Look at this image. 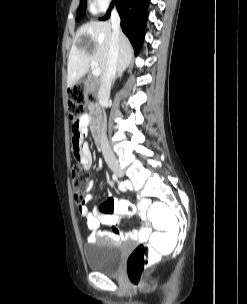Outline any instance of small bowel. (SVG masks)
I'll return each instance as SVG.
<instances>
[{
	"mask_svg": "<svg viewBox=\"0 0 247 304\" xmlns=\"http://www.w3.org/2000/svg\"><path fill=\"white\" fill-rule=\"evenodd\" d=\"M91 123V118L88 115H83L78 122H72V131H71V144L70 151L71 156H73V165H82V167L88 170L92 166V156L87 145L82 143V140L85 136L88 135V127ZM93 189V184L90 183L88 185L87 191L88 193L84 197L83 203L79 205V211L81 215L84 217L88 228L92 231V233L88 237L89 242H95L99 238H110L113 240H118L121 237L126 239L136 238L141 241L146 240L151 230L150 228L143 226L139 230L131 233H127L125 235H121L118 229L115 227V224L118 221L117 214L111 215H99L95 216L88 208V204L93 200V195L91 191ZM149 201L143 199L139 202V208L141 210L142 218L146 217L144 212L145 208L148 206ZM100 224H109L113 225V231H98Z\"/></svg>",
	"mask_w": 247,
	"mask_h": 304,
	"instance_id": "small-bowel-1",
	"label": "small bowel"
}]
</instances>
